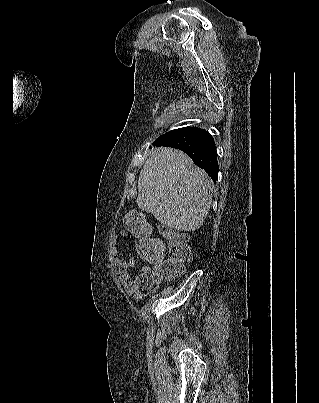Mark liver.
Here are the masks:
<instances>
[{"label": "liver", "mask_w": 319, "mask_h": 403, "mask_svg": "<svg viewBox=\"0 0 319 403\" xmlns=\"http://www.w3.org/2000/svg\"><path fill=\"white\" fill-rule=\"evenodd\" d=\"M138 207L178 231L201 227L212 201L211 181L184 152L155 148L138 179Z\"/></svg>", "instance_id": "liver-1"}]
</instances>
